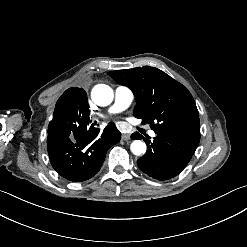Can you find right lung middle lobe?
<instances>
[{
  "mask_svg": "<svg viewBox=\"0 0 247 247\" xmlns=\"http://www.w3.org/2000/svg\"><path fill=\"white\" fill-rule=\"evenodd\" d=\"M87 94L82 88H70L58 99L48 135L63 136L75 124L89 118Z\"/></svg>",
  "mask_w": 247,
  "mask_h": 247,
  "instance_id": "right-lung-middle-lobe-1",
  "label": "right lung middle lobe"
}]
</instances>
